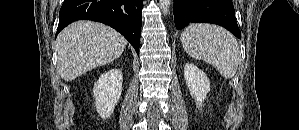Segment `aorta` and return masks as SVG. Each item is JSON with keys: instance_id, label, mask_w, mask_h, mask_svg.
Returning a JSON list of instances; mask_svg holds the SVG:
<instances>
[{"instance_id": "aorta-1", "label": "aorta", "mask_w": 299, "mask_h": 130, "mask_svg": "<svg viewBox=\"0 0 299 130\" xmlns=\"http://www.w3.org/2000/svg\"><path fill=\"white\" fill-rule=\"evenodd\" d=\"M170 2H171L170 0H159L161 9L163 10L164 13L168 12Z\"/></svg>"}]
</instances>
